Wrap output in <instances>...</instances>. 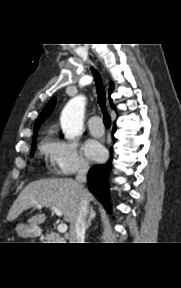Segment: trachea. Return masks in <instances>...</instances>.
Instances as JSON below:
<instances>
[{"label":"trachea","instance_id":"obj_1","mask_svg":"<svg viewBox=\"0 0 181 288\" xmlns=\"http://www.w3.org/2000/svg\"><path fill=\"white\" fill-rule=\"evenodd\" d=\"M91 69H92L94 80L97 86V99H98V103L103 113V122L106 128H109L111 126V118L105 108L106 96H105V91H104V87L102 84V79L100 77V74L95 69L93 68Z\"/></svg>","mask_w":181,"mask_h":288}]
</instances>
